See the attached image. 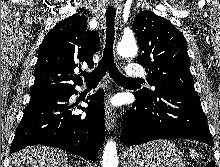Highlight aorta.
I'll use <instances>...</instances> for the list:
<instances>
[{"instance_id": "1", "label": "aorta", "mask_w": 220, "mask_h": 167, "mask_svg": "<svg viewBox=\"0 0 220 167\" xmlns=\"http://www.w3.org/2000/svg\"><path fill=\"white\" fill-rule=\"evenodd\" d=\"M117 52L123 58H132L137 55L138 47L134 38H124L117 46ZM118 155L116 143L112 140L108 141L102 156V167H118Z\"/></svg>"}]
</instances>
